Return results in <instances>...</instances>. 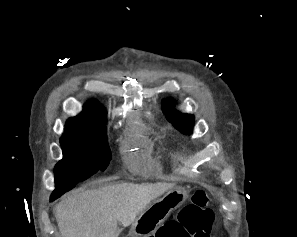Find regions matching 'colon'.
<instances>
[{
	"label": "colon",
	"mask_w": 297,
	"mask_h": 237,
	"mask_svg": "<svg viewBox=\"0 0 297 237\" xmlns=\"http://www.w3.org/2000/svg\"><path fill=\"white\" fill-rule=\"evenodd\" d=\"M213 221L208 195L203 190H196L178 218L165 223L150 237H209Z\"/></svg>",
	"instance_id": "obj_1"
}]
</instances>
